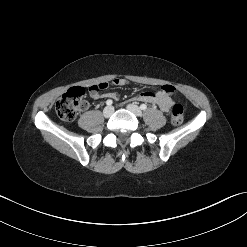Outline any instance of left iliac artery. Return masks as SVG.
<instances>
[{"label": "left iliac artery", "mask_w": 247, "mask_h": 247, "mask_svg": "<svg viewBox=\"0 0 247 247\" xmlns=\"http://www.w3.org/2000/svg\"><path fill=\"white\" fill-rule=\"evenodd\" d=\"M140 109L141 110H146L147 109V105L146 104H141L140 105Z\"/></svg>", "instance_id": "obj_1"}]
</instances>
